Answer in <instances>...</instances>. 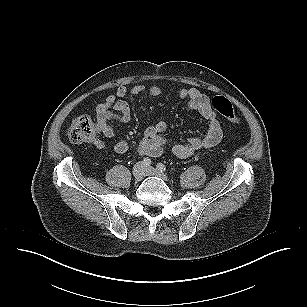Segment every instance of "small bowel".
<instances>
[{
    "instance_id": "1",
    "label": "small bowel",
    "mask_w": 307,
    "mask_h": 307,
    "mask_svg": "<svg viewBox=\"0 0 307 307\" xmlns=\"http://www.w3.org/2000/svg\"><path fill=\"white\" fill-rule=\"evenodd\" d=\"M146 91L144 85H134L130 89L125 86H119L115 95H109L104 102L96 106V118L100 127V131L106 138H114L115 128L111 124L113 121L129 122L131 119V108L124 100L128 94L140 95ZM150 95H159L161 89L152 86L148 89ZM180 99L187 102V107L201 114L207 121V129L205 133L189 138L184 143H178L171 146V152L179 158L191 157L200 149L212 148L219 144L222 139V129L217 118V112L213 109L210 99L207 95L195 88H182L177 93ZM166 127L163 122H155L148 126L144 132V136L138 144V152L142 156L157 157L160 156L165 149L166 139L162 133ZM94 145L98 149H104L106 143L102 139L94 141ZM129 144L126 140L120 139L115 142L114 151L118 154H124L128 151Z\"/></svg>"
}]
</instances>
